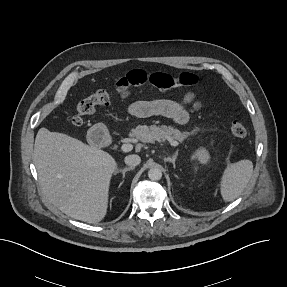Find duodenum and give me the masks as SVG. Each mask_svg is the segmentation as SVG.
Here are the masks:
<instances>
[{"mask_svg":"<svg viewBox=\"0 0 287 287\" xmlns=\"http://www.w3.org/2000/svg\"><path fill=\"white\" fill-rule=\"evenodd\" d=\"M90 142L93 145H111L112 139L109 134L102 128L96 127L89 135Z\"/></svg>","mask_w":287,"mask_h":287,"instance_id":"obj_1","label":"duodenum"}]
</instances>
